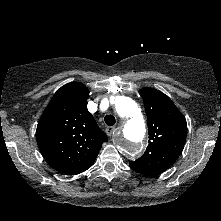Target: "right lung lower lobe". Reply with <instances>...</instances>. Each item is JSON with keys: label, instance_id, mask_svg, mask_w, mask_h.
Masks as SVG:
<instances>
[{"label": "right lung lower lobe", "instance_id": "right-lung-lower-lobe-1", "mask_svg": "<svg viewBox=\"0 0 221 221\" xmlns=\"http://www.w3.org/2000/svg\"><path fill=\"white\" fill-rule=\"evenodd\" d=\"M92 164H93V163H92ZM92 164H91V165H92ZM91 165H89L87 168H85V169H83V170H81V171H78V172H76V173H73V174H71V175L79 174V173H81V172L87 170Z\"/></svg>", "mask_w": 221, "mask_h": 221}]
</instances>
